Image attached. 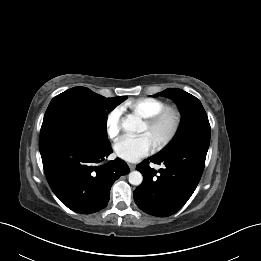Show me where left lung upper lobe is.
Segmentation results:
<instances>
[{"instance_id":"5c2ea615","label":"left lung upper lobe","mask_w":261,"mask_h":261,"mask_svg":"<svg viewBox=\"0 0 261 261\" xmlns=\"http://www.w3.org/2000/svg\"><path fill=\"white\" fill-rule=\"evenodd\" d=\"M165 96L178 106L181 122L176 135L159 153H166L187 145H204L210 143V124L201 102L193 95L177 88H168L152 97Z\"/></svg>"}]
</instances>
